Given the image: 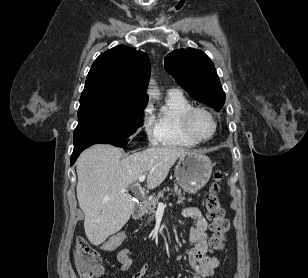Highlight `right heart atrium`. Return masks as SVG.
<instances>
[{"label":"right heart atrium","instance_id":"d8ad5b80","mask_svg":"<svg viewBox=\"0 0 308 278\" xmlns=\"http://www.w3.org/2000/svg\"><path fill=\"white\" fill-rule=\"evenodd\" d=\"M141 129L150 143H156L155 121L151 113L150 105H146L143 109Z\"/></svg>","mask_w":308,"mask_h":278}]
</instances>
